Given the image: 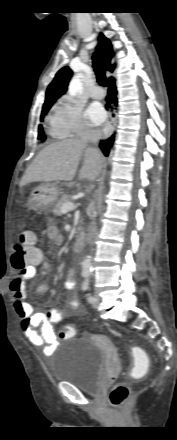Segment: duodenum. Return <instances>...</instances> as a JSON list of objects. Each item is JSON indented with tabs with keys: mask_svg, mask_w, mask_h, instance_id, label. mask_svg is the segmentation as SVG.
Instances as JSON below:
<instances>
[{
	"mask_svg": "<svg viewBox=\"0 0 177 440\" xmlns=\"http://www.w3.org/2000/svg\"><path fill=\"white\" fill-rule=\"evenodd\" d=\"M83 245H84V235L82 232H78L73 243L74 251L78 253L81 252L83 249Z\"/></svg>",
	"mask_w": 177,
	"mask_h": 440,
	"instance_id": "obj_1",
	"label": "duodenum"
}]
</instances>
